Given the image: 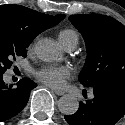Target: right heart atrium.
<instances>
[{
  "instance_id": "right-heart-atrium-1",
  "label": "right heart atrium",
  "mask_w": 125,
  "mask_h": 125,
  "mask_svg": "<svg viewBox=\"0 0 125 125\" xmlns=\"http://www.w3.org/2000/svg\"><path fill=\"white\" fill-rule=\"evenodd\" d=\"M32 47H33V45H30V46H29V49H32Z\"/></svg>"
}]
</instances>
